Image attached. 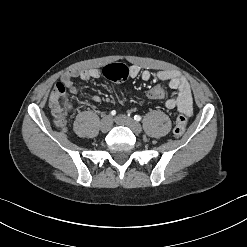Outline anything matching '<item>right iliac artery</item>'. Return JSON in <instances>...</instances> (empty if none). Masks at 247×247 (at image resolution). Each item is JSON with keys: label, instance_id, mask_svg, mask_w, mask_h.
I'll return each instance as SVG.
<instances>
[{"label": "right iliac artery", "instance_id": "obj_1", "mask_svg": "<svg viewBox=\"0 0 247 247\" xmlns=\"http://www.w3.org/2000/svg\"><path fill=\"white\" fill-rule=\"evenodd\" d=\"M116 114V111L115 110H112L111 111V115L114 116Z\"/></svg>", "mask_w": 247, "mask_h": 247}]
</instances>
